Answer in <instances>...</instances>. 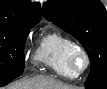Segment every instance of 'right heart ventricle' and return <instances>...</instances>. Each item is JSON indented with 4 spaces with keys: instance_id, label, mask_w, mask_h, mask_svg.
<instances>
[{
    "instance_id": "e07e8e85",
    "label": "right heart ventricle",
    "mask_w": 107,
    "mask_h": 89,
    "mask_svg": "<svg viewBox=\"0 0 107 89\" xmlns=\"http://www.w3.org/2000/svg\"><path fill=\"white\" fill-rule=\"evenodd\" d=\"M75 45L66 35L59 31H49L41 40L35 53V59L50 68L59 76L73 79L76 76L67 63L69 50Z\"/></svg>"
}]
</instances>
